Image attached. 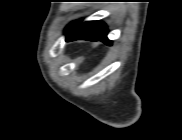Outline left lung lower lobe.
<instances>
[{"mask_svg": "<svg viewBox=\"0 0 182 140\" xmlns=\"http://www.w3.org/2000/svg\"><path fill=\"white\" fill-rule=\"evenodd\" d=\"M67 33V41L73 40H90L103 41L111 45V41L107 39V28L104 23L100 21H88L79 23Z\"/></svg>", "mask_w": 182, "mask_h": 140, "instance_id": "left-lung-lower-lobe-1", "label": "left lung lower lobe"}]
</instances>
